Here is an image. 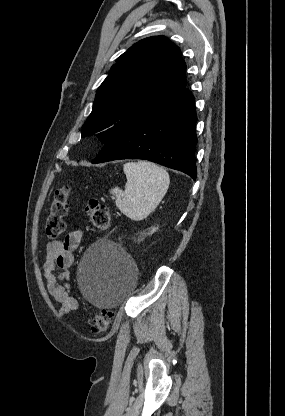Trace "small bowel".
Wrapping results in <instances>:
<instances>
[{"instance_id":"small-bowel-1","label":"small bowel","mask_w":285,"mask_h":416,"mask_svg":"<svg viewBox=\"0 0 285 416\" xmlns=\"http://www.w3.org/2000/svg\"><path fill=\"white\" fill-rule=\"evenodd\" d=\"M83 238L82 230L69 232L63 240L51 241L46 246L43 275L47 291L59 305V315L66 316L78 309V301L70 293L69 269L74 262V251Z\"/></svg>"}]
</instances>
